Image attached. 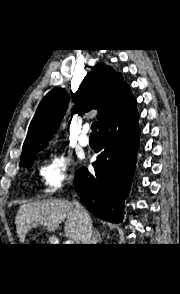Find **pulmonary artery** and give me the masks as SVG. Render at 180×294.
<instances>
[{
	"mask_svg": "<svg viewBox=\"0 0 180 294\" xmlns=\"http://www.w3.org/2000/svg\"><path fill=\"white\" fill-rule=\"evenodd\" d=\"M89 129H90V126L88 124L84 125L83 134L78 139L79 144L82 145V146H88L89 143H90V139L86 135V133L89 131Z\"/></svg>",
	"mask_w": 180,
	"mask_h": 294,
	"instance_id": "1",
	"label": "pulmonary artery"
}]
</instances>
